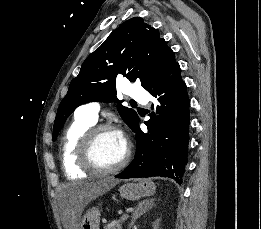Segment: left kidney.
I'll return each mask as SVG.
<instances>
[{
  "instance_id": "left-kidney-1",
  "label": "left kidney",
  "mask_w": 261,
  "mask_h": 229,
  "mask_svg": "<svg viewBox=\"0 0 261 229\" xmlns=\"http://www.w3.org/2000/svg\"><path fill=\"white\" fill-rule=\"evenodd\" d=\"M160 221H161V219H156V221H154V223H152L153 229H160Z\"/></svg>"
}]
</instances>
